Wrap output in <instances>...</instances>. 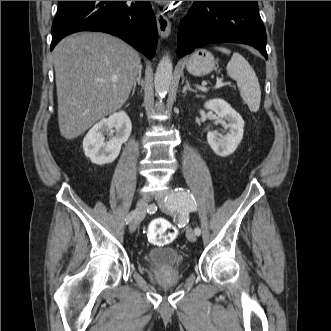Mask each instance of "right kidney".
<instances>
[{
	"label": "right kidney",
	"instance_id": "obj_1",
	"mask_svg": "<svg viewBox=\"0 0 331 331\" xmlns=\"http://www.w3.org/2000/svg\"><path fill=\"white\" fill-rule=\"evenodd\" d=\"M112 128L116 129V135L105 141L103 134ZM131 130V121L124 111L102 119L89 130L83 140L86 157L97 165L112 163L118 157L122 144L128 140Z\"/></svg>",
	"mask_w": 331,
	"mask_h": 331
}]
</instances>
